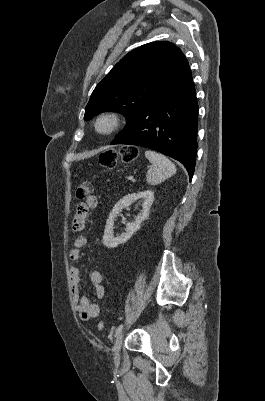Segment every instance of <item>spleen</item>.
Returning <instances> with one entry per match:
<instances>
[{
    "mask_svg": "<svg viewBox=\"0 0 265 401\" xmlns=\"http://www.w3.org/2000/svg\"><path fill=\"white\" fill-rule=\"evenodd\" d=\"M145 156L152 162V166L146 174L148 184H152V186L160 184L176 172L175 164L164 154H159L155 150H146Z\"/></svg>",
    "mask_w": 265,
    "mask_h": 401,
    "instance_id": "1",
    "label": "spleen"
}]
</instances>
